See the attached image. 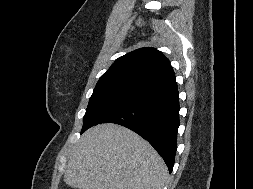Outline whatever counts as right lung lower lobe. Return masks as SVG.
Wrapping results in <instances>:
<instances>
[{"mask_svg": "<svg viewBox=\"0 0 253 189\" xmlns=\"http://www.w3.org/2000/svg\"><path fill=\"white\" fill-rule=\"evenodd\" d=\"M179 109L175 82L149 91L137 101L110 113L96 124L116 123L135 131L158 151L171 173L180 124Z\"/></svg>", "mask_w": 253, "mask_h": 189, "instance_id": "1", "label": "right lung lower lobe"}]
</instances>
